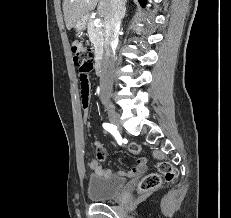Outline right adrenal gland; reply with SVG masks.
I'll list each match as a JSON object with an SVG mask.
<instances>
[{
	"instance_id": "right-adrenal-gland-1",
	"label": "right adrenal gland",
	"mask_w": 231,
	"mask_h": 218,
	"mask_svg": "<svg viewBox=\"0 0 231 218\" xmlns=\"http://www.w3.org/2000/svg\"><path fill=\"white\" fill-rule=\"evenodd\" d=\"M125 11H126V9H125ZM125 17V12H124V15H123V18Z\"/></svg>"
}]
</instances>
